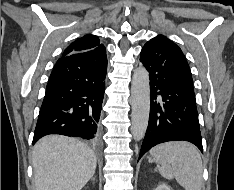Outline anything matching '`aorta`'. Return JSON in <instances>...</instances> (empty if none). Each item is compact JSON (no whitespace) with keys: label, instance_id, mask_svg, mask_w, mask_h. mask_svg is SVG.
<instances>
[{"label":"aorta","instance_id":"1","mask_svg":"<svg viewBox=\"0 0 234 190\" xmlns=\"http://www.w3.org/2000/svg\"><path fill=\"white\" fill-rule=\"evenodd\" d=\"M131 133L134 140H141L146 132L150 113V86L148 71L140 66L135 69L131 83Z\"/></svg>","mask_w":234,"mask_h":190}]
</instances>
